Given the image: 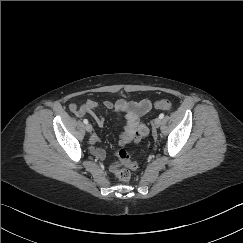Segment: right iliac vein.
I'll return each mask as SVG.
<instances>
[{"label": "right iliac vein", "instance_id": "1", "mask_svg": "<svg viewBox=\"0 0 243 243\" xmlns=\"http://www.w3.org/2000/svg\"><path fill=\"white\" fill-rule=\"evenodd\" d=\"M85 129H86L87 132H92L93 127H92L91 124H86Z\"/></svg>", "mask_w": 243, "mask_h": 243}]
</instances>
